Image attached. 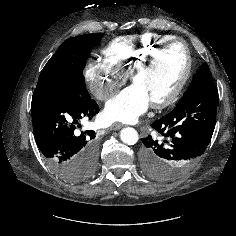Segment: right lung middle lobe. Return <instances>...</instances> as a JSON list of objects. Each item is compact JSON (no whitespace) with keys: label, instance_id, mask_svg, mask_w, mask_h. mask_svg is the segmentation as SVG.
<instances>
[{"label":"right lung middle lobe","instance_id":"right-lung-middle-lobe-1","mask_svg":"<svg viewBox=\"0 0 236 236\" xmlns=\"http://www.w3.org/2000/svg\"><path fill=\"white\" fill-rule=\"evenodd\" d=\"M103 33L86 34L63 42L46 63L35 91H59L90 97L86 90L83 69L92 47L100 41ZM97 160L91 159L77 167L69 181L88 178L96 169Z\"/></svg>","mask_w":236,"mask_h":236}]
</instances>
